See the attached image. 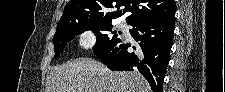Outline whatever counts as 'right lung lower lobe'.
Here are the masks:
<instances>
[{
	"mask_svg": "<svg viewBox=\"0 0 225 92\" xmlns=\"http://www.w3.org/2000/svg\"><path fill=\"white\" fill-rule=\"evenodd\" d=\"M174 16L168 19L144 20L129 30L137 41V48L128 51L129 44L119 41L94 52L110 70L139 71L149 82L153 92H162L165 71L169 63L174 36Z\"/></svg>",
	"mask_w": 225,
	"mask_h": 92,
	"instance_id": "1",
	"label": "right lung lower lobe"
}]
</instances>
